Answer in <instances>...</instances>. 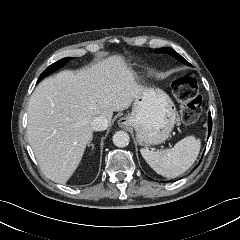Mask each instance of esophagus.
<instances>
[{"instance_id":"esophagus-1","label":"esophagus","mask_w":240,"mask_h":240,"mask_svg":"<svg viewBox=\"0 0 240 240\" xmlns=\"http://www.w3.org/2000/svg\"><path fill=\"white\" fill-rule=\"evenodd\" d=\"M118 124L120 127H126L130 124V120L127 117H122L118 120Z\"/></svg>"}]
</instances>
